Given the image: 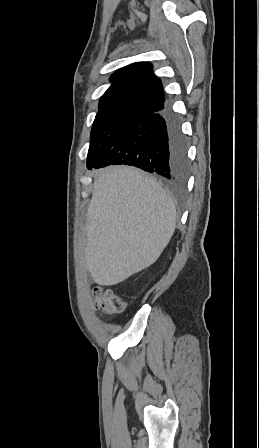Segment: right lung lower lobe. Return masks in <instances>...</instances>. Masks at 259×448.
<instances>
[{
  "instance_id": "right-lung-lower-lobe-1",
  "label": "right lung lower lobe",
  "mask_w": 259,
  "mask_h": 448,
  "mask_svg": "<svg viewBox=\"0 0 259 448\" xmlns=\"http://www.w3.org/2000/svg\"><path fill=\"white\" fill-rule=\"evenodd\" d=\"M125 164L180 185L187 172L186 141L169 105L134 119L100 154L91 169Z\"/></svg>"
}]
</instances>
